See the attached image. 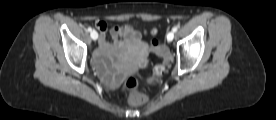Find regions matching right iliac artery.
Instances as JSON below:
<instances>
[{
    "label": "right iliac artery",
    "mask_w": 276,
    "mask_h": 120,
    "mask_svg": "<svg viewBox=\"0 0 276 120\" xmlns=\"http://www.w3.org/2000/svg\"><path fill=\"white\" fill-rule=\"evenodd\" d=\"M87 31H88V32H91V31H92V28H91V27H88V28H87Z\"/></svg>",
    "instance_id": "obj_1"
}]
</instances>
